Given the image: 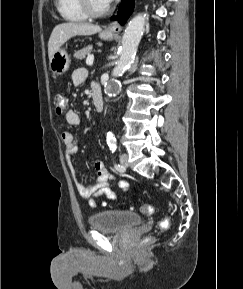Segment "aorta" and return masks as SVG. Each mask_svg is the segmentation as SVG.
<instances>
[{"label": "aorta", "mask_w": 243, "mask_h": 289, "mask_svg": "<svg viewBox=\"0 0 243 289\" xmlns=\"http://www.w3.org/2000/svg\"><path fill=\"white\" fill-rule=\"evenodd\" d=\"M146 18V15L139 14L128 23L122 38L120 58L112 72L114 77L122 75L132 64L144 32ZM110 88L111 86L108 87L109 90ZM107 144L112 151L117 147L115 136L111 132L107 133Z\"/></svg>", "instance_id": "obj_1"}]
</instances>
